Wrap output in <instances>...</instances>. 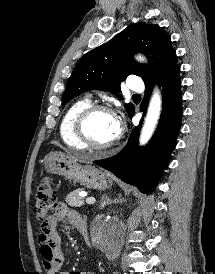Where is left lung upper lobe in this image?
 <instances>
[{
  "instance_id": "1",
  "label": "left lung upper lobe",
  "mask_w": 215,
  "mask_h": 274,
  "mask_svg": "<svg viewBox=\"0 0 215 274\" xmlns=\"http://www.w3.org/2000/svg\"><path fill=\"white\" fill-rule=\"evenodd\" d=\"M136 52L145 54L150 64L129 58ZM176 66L177 56L170 36L159 25L132 24L77 62L68 79L62 105L89 90L118 93L120 83L130 74L140 76L145 84L159 80ZM125 108L129 115L135 109L131 103L125 104Z\"/></svg>"
}]
</instances>
